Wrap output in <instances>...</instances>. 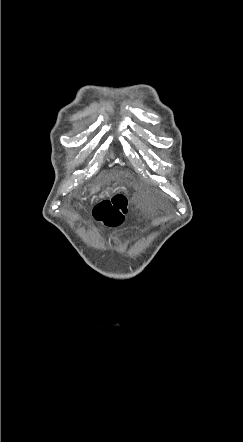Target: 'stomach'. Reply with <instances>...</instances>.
Instances as JSON below:
<instances>
[{
  "label": "stomach",
  "instance_id": "0dacf381",
  "mask_svg": "<svg viewBox=\"0 0 243 442\" xmlns=\"http://www.w3.org/2000/svg\"><path fill=\"white\" fill-rule=\"evenodd\" d=\"M107 196H109V192H108V191H105V192L102 194V197H107Z\"/></svg>",
  "mask_w": 243,
  "mask_h": 442
}]
</instances>
